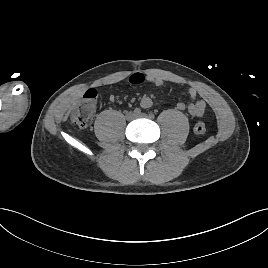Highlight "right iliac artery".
<instances>
[{"instance_id":"1","label":"right iliac artery","mask_w":268,"mask_h":268,"mask_svg":"<svg viewBox=\"0 0 268 268\" xmlns=\"http://www.w3.org/2000/svg\"><path fill=\"white\" fill-rule=\"evenodd\" d=\"M133 112H134V114L139 115V114H141V109L135 108Z\"/></svg>"}]
</instances>
